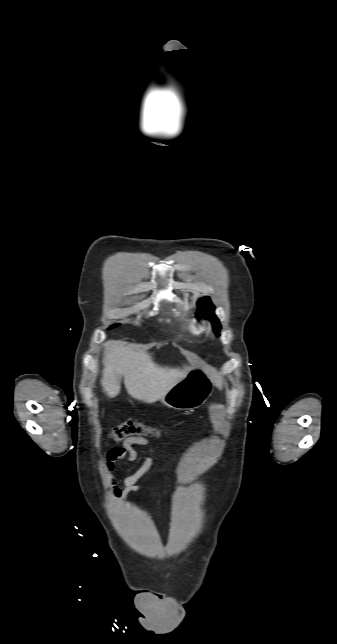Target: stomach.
I'll use <instances>...</instances> for the list:
<instances>
[{
	"label": "stomach",
	"mask_w": 337,
	"mask_h": 644,
	"mask_svg": "<svg viewBox=\"0 0 337 644\" xmlns=\"http://www.w3.org/2000/svg\"><path fill=\"white\" fill-rule=\"evenodd\" d=\"M212 391L210 369L206 365L196 364L160 401L176 410H193L200 407Z\"/></svg>",
	"instance_id": "stomach-1"
}]
</instances>
